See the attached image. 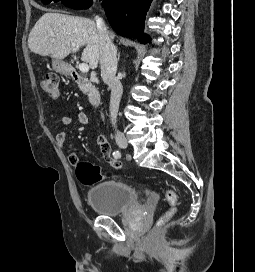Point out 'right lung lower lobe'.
<instances>
[{"label":"right lung lower lobe","mask_w":255,"mask_h":272,"mask_svg":"<svg viewBox=\"0 0 255 272\" xmlns=\"http://www.w3.org/2000/svg\"><path fill=\"white\" fill-rule=\"evenodd\" d=\"M152 0H103V7L113 30L141 43L150 42L143 33L145 16Z\"/></svg>","instance_id":"right-lung-lower-lobe-1"}]
</instances>
